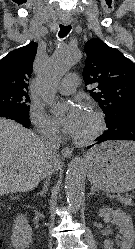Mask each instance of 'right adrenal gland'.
<instances>
[{
	"instance_id": "2a0ac1e0",
	"label": "right adrenal gland",
	"mask_w": 135,
	"mask_h": 249,
	"mask_svg": "<svg viewBox=\"0 0 135 249\" xmlns=\"http://www.w3.org/2000/svg\"><path fill=\"white\" fill-rule=\"evenodd\" d=\"M49 184H50V178L48 177L44 183V186L42 188V191L40 192V195L41 196H45L46 192L48 191V187H49Z\"/></svg>"
}]
</instances>
